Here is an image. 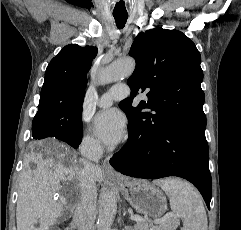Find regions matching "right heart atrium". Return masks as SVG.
<instances>
[{
	"label": "right heart atrium",
	"instance_id": "obj_1",
	"mask_svg": "<svg viewBox=\"0 0 241 230\" xmlns=\"http://www.w3.org/2000/svg\"><path fill=\"white\" fill-rule=\"evenodd\" d=\"M80 149L85 155L94 156L100 153L101 145L89 134H84L80 139Z\"/></svg>",
	"mask_w": 241,
	"mask_h": 230
}]
</instances>
